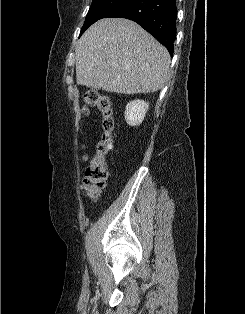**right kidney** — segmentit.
Returning a JSON list of instances; mask_svg holds the SVG:
<instances>
[{
    "label": "right kidney",
    "mask_w": 245,
    "mask_h": 314,
    "mask_svg": "<svg viewBox=\"0 0 245 314\" xmlns=\"http://www.w3.org/2000/svg\"><path fill=\"white\" fill-rule=\"evenodd\" d=\"M149 103L143 100H134L126 105L125 120L130 126H139L148 111Z\"/></svg>",
    "instance_id": "ca27d5eb"
}]
</instances>
